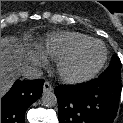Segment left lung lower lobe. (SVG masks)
<instances>
[{
    "label": "left lung lower lobe",
    "instance_id": "obj_1",
    "mask_svg": "<svg viewBox=\"0 0 123 123\" xmlns=\"http://www.w3.org/2000/svg\"><path fill=\"white\" fill-rule=\"evenodd\" d=\"M121 89V82L100 78L78 86L56 87L59 123H113Z\"/></svg>",
    "mask_w": 123,
    "mask_h": 123
}]
</instances>
